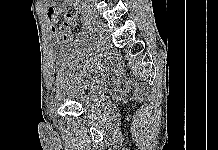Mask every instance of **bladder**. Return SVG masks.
<instances>
[{
    "mask_svg": "<svg viewBox=\"0 0 218 150\" xmlns=\"http://www.w3.org/2000/svg\"><path fill=\"white\" fill-rule=\"evenodd\" d=\"M74 57L64 59L56 75L58 93L66 100L80 103L84 106L91 101V90L87 78L81 76L80 70L75 67Z\"/></svg>",
    "mask_w": 218,
    "mask_h": 150,
    "instance_id": "bladder-1",
    "label": "bladder"
}]
</instances>
